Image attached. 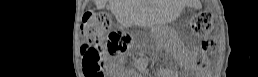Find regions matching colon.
Listing matches in <instances>:
<instances>
[{
	"instance_id": "colon-1",
	"label": "colon",
	"mask_w": 258,
	"mask_h": 77,
	"mask_svg": "<svg viewBox=\"0 0 258 77\" xmlns=\"http://www.w3.org/2000/svg\"><path fill=\"white\" fill-rule=\"evenodd\" d=\"M193 32L201 38L202 51L212 55L216 41L210 36L212 31L211 15L199 13L191 20ZM85 43L82 46L84 74L86 77H100L103 73L101 54L104 48L110 53L124 52L131 45V36L123 31L111 30V19L104 13H87L82 25Z\"/></svg>"
}]
</instances>
